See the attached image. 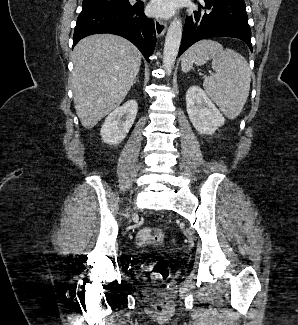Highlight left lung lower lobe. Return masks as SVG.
<instances>
[{
	"label": "left lung lower lobe",
	"mask_w": 298,
	"mask_h": 325,
	"mask_svg": "<svg viewBox=\"0 0 298 325\" xmlns=\"http://www.w3.org/2000/svg\"><path fill=\"white\" fill-rule=\"evenodd\" d=\"M199 10L186 19L179 56L195 42L211 37L243 40L252 51L251 30L244 0H197Z\"/></svg>",
	"instance_id": "left-lung-lower-lobe-1"
}]
</instances>
